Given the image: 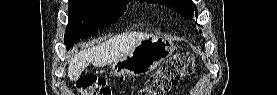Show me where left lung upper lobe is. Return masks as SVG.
Wrapping results in <instances>:
<instances>
[{"mask_svg":"<svg viewBox=\"0 0 277 95\" xmlns=\"http://www.w3.org/2000/svg\"><path fill=\"white\" fill-rule=\"evenodd\" d=\"M145 1L148 3H159L167 7H172L177 12L181 13L184 18L189 20H192V17L195 14L197 19V8L192 0H139V2Z\"/></svg>","mask_w":277,"mask_h":95,"instance_id":"1","label":"left lung upper lobe"}]
</instances>
